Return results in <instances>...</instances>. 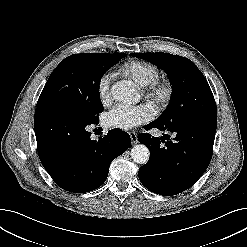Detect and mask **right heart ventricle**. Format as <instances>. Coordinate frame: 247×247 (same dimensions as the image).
I'll use <instances>...</instances> for the list:
<instances>
[{"instance_id": "right-heart-ventricle-1", "label": "right heart ventricle", "mask_w": 247, "mask_h": 247, "mask_svg": "<svg viewBox=\"0 0 247 247\" xmlns=\"http://www.w3.org/2000/svg\"><path fill=\"white\" fill-rule=\"evenodd\" d=\"M121 71L141 86L151 84L159 76L156 66L143 61L129 62L122 67Z\"/></svg>"}]
</instances>
